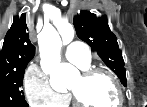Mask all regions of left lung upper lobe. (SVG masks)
Returning a JSON list of instances; mask_svg holds the SVG:
<instances>
[{"label":"left lung upper lobe","mask_w":147,"mask_h":107,"mask_svg":"<svg viewBox=\"0 0 147 107\" xmlns=\"http://www.w3.org/2000/svg\"><path fill=\"white\" fill-rule=\"evenodd\" d=\"M74 26L79 39L91 46L103 62L119 77L126 86L124 60L119 50L117 38L111 32L107 18L97 17L89 11L82 10L74 18Z\"/></svg>","instance_id":"left-lung-upper-lobe-1"}]
</instances>
